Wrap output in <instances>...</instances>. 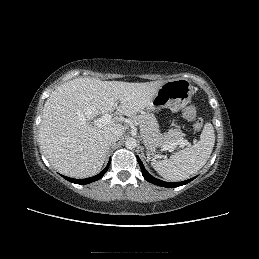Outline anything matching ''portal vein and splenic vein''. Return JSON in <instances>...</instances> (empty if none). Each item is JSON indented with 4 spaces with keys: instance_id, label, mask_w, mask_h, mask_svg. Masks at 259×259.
Segmentation results:
<instances>
[{
    "instance_id": "1",
    "label": "portal vein and splenic vein",
    "mask_w": 259,
    "mask_h": 259,
    "mask_svg": "<svg viewBox=\"0 0 259 259\" xmlns=\"http://www.w3.org/2000/svg\"><path fill=\"white\" fill-rule=\"evenodd\" d=\"M111 121H112V115L108 114V113L104 114L101 118L96 120V122H98V123H109ZM176 144L177 143H172V144H170V146H168V147L165 146L164 148L165 149L173 148ZM180 144H181V146H185L188 144V141L181 140Z\"/></svg>"
}]
</instances>
